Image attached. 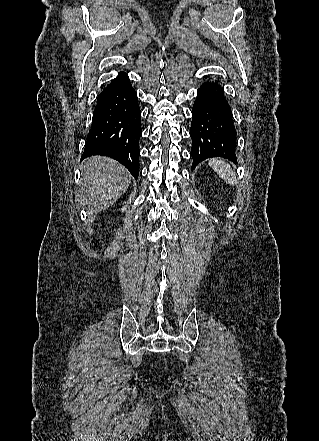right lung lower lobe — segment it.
I'll return each instance as SVG.
<instances>
[{"label":"right lung lower lobe","instance_id":"right-lung-lower-lobe-1","mask_svg":"<svg viewBox=\"0 0 319 441\" xmlns=\"http://www.w3.org/2000/svg\"><path fill=\"white\" fill-rule=\"evenodd\" d=\"M92 120L81 160L92 155L111 157L137 179L141 111L126 73L120 72L98 95Z\"/></svg>","mask_w":319,"mask_h":441}]
</instances>
